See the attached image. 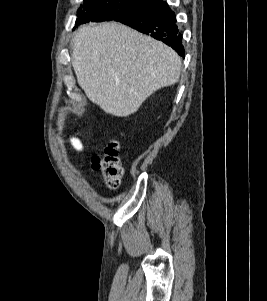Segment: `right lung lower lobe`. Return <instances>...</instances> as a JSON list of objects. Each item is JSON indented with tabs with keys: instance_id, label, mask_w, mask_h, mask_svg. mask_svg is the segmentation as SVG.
Returning a JSON list of instances; mask_svg holds the SVG:
<instances>
[{
	"instance_id": "obj_1",
	"label": "right lung lower lobe",
	"mask_w": 267,
	"mask_h": 301,
	"mask_svg": "<svg viewBox=\"0 0 267 301\" xmlns=\"http://www.w3.org/2000/svg\"><path fill=\"white\" fill-rule=\"evenodd\" d=\"M114 21L124 23L164 42L172 47L180 56L184 57L185 55L182 35L176 25L175 14L164 1L136 12L119 16Z\"/></svg>"
}]
</instances>
